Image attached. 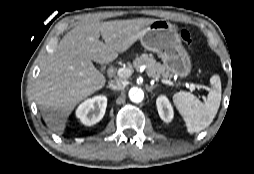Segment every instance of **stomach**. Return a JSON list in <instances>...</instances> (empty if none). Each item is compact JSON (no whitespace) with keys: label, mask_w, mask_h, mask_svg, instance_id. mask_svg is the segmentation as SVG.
Here are the masks:
<instances>
[{"label":"stomach","mask_w":254,"mask_h":174,"mask_svg":"<svg viewBox=\"0 0 254 174\" xmlns=\"http://www.w3.org/2000/svg\"><path fill=\"white\" fill-rule=\"evenodd\" d=\"M142 46L156 53L166 69L175 76L186 78L192 71V61L183 47L176 26L164 19L152 22L140 38Z\"/></svg>","instance_id":"1"}]
</instances>
